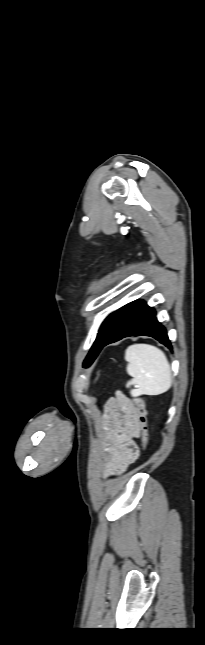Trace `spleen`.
Returning a JSON list of instances; mask_svg holds the SVG:
<instances>
[{
  "instance_id": "spleen-1",
  "label": "spleen",
  "mask_w": 205,
  "mask_h": 645,
  "mask_svg": "<svg viewBox=\"0 0 205 645\" xmlns=\"http://www.w3.org/2000/svg\"><path fill=\"white\" fill-rule=\"evenodd\" d=\"M128 362L126 371L132 377L127 386L135 385L131 395L156 396L168 391L172 375L166 355L159 348L149 344H134L125 351Z\"/></svg>"
}]
</instances>
